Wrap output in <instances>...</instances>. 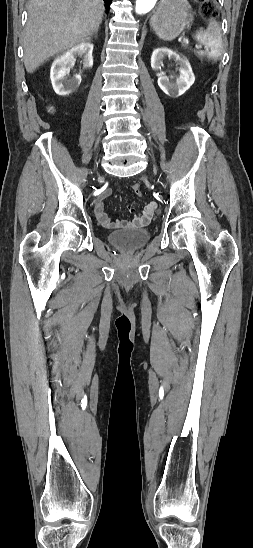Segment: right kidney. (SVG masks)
<instances>
[{
  "label": "right kidney",
  "mask_w": 253,
  "mask_h": 548,
  "mask_svg": "<svg viewBox=\"0 0 253 548\" xmlns=\"http://www.w3.org/2000/svg\"><path fill=\"white\" fill-rule=\"evenodd\" d=\"M92 51V43L82 42L56 57L50 71V79L56 94L66 96L77 89L81 83V75L76 74L72 79H68V69L74 66L76 56H82L83 66L85 68H91L93 66Z\"/></svg>",
  "instance_id": "1"
}]
</instances>
